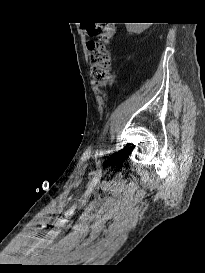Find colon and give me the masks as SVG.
<instances>
[{
  "mask_svg": "<svg viewBox=\"0 0 205 273\" xmlns=\"http://www.w3.org/2000/svg\"><path fill=\"white\" fill-rule=\"evenodd\" d=\"M114 23L90 25L87 31L97 39L88 44L89 60L92 76L97 88H101L112 81L111 53L109 43L114 36Z\"/></svg>",
  "mask_w": 205,
  "mask_h": 273,
  "instance_id": "obj_1",
  "label": "colon"
}]
</instances>
